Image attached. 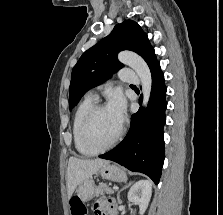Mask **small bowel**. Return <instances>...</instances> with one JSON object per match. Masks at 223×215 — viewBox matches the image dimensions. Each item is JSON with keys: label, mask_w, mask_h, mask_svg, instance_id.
<instances>
[{"label": "small bowel", "mask_w": 223, "mask_h": 215, "mask_svg": "<svg viewBox=\"0 0 223 215\" xmlns=\"http://www.w3.org/2000/svg\"><path fill=\"white\" fill-rule=\"evenodd\" d=\"M96 215H114L111 205L107 201H100L94 207Z\"/></svg>", "instance_id": "c3829d8e"}]
</instances>
